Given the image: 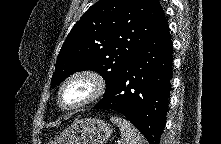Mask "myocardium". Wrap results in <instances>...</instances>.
Returning a JSON list of instances; mask_svg holds the SVG:
<instances>
[{
	"label": "myocardium",
	"mask_w": 221,
	"mask_h": 144,
	"mask_svg": "<svg viewBox=\"0 0 221 144\" xmlns=\"http://www.w3.org/2000/svg\"><path fill=\"white\" fill-rule=\"evenodd\" d=\"M77 80H86L91 85V91L89 95L83 99L82 101L71 105L65 106L62 104V94L65 88L72 82ZM106 89V81L104 77L92 69H82L78 70L72 74H70L64 81L61 83L58 93H57V105L60 109L64 111H74L85 106H88L94 102H96L105 92Z\"/></svg>",
	"instance_id": "1"
}]
</instances>
